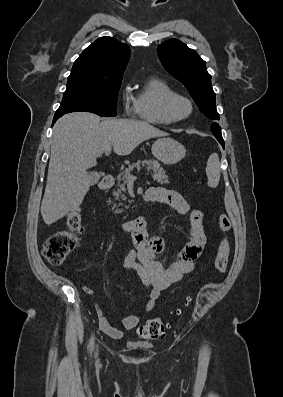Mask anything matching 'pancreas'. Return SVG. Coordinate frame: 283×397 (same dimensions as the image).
Instances as JSON below:
<instances>
[{
  "mask_svg": "<svg viewBox=\"0 0 283 397\" xmlns=\"http://www.w3.org/2000/svg\"><path fill=\"white\" fill-rule=\"evenodd\" d=\"M146 166L147 170L153 171L152 177L153 180L157 181L161 185H165L169 183L168 176L166 175V172L164 169L160 166V164L157 161L153 160H138L136 163H133L132 165H129L128 168L125 169V171L117 176V191L114 192V195L117 197L121 196L123 200H126V196L122 194V192L126 191L125 184L128 181V174L135 168V167H140ZM122 209H117L115 212L116 213H122Z\"/></svg>",
  "mask_w": 283,
  "mask_h": 397,
  "instance_id": "obj_1",
  "label": "pancreas"
}]
</instances>
